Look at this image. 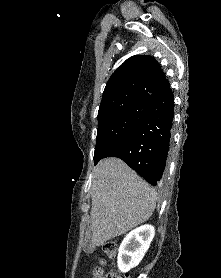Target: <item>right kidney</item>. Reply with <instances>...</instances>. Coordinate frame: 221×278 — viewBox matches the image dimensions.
<instances>
[{
  "label": "right kidney",
  "instance_id": "right-kidney-1",
  "mask_svg": "<svg viewBox=\"0 0 221 278\" xmlns=\"http://www.w3.org/2000/svg\"><path fill=\"white\" fill-rule=\"evenodd\" d=\"M155 235L154 227L143 225L131 231L122 241L117 264L121 272L126 273L136 267L143 259Z\"/></svg>",
  "mask_w": 221,
  "mask_h": 278
}]
</instances>
